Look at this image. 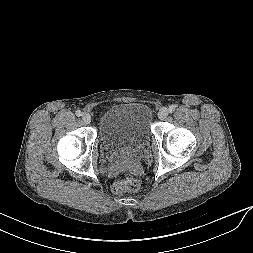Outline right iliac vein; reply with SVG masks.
Wrapping results in <instances>:
<instances>
[{
	"instance_id": "1",
	"label": "right iliac vein",
	"mask_w": 253,
	"mask_h": 253,
	"mask_svg": "<svg viewBox=\"0 0 253 253\" xmlns=\"http://www.w3.org/2000/svg\"><path fill=\"white\" fill-rule=\"evenodd\" d=\"M82 120L84 123L89 124L91 122V115L89 113H83L82 114Z\"/></svg>"
}]
</instances>
